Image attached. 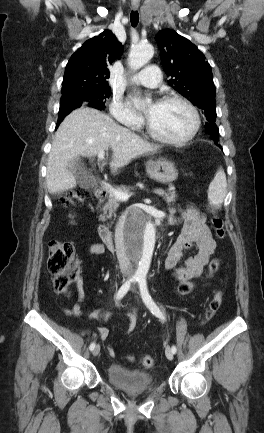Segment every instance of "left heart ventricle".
<instances>
[{
	"label": "left heart ventricle",
	"mask_w": 264,
	"mask_h": 433,
	"mask_svg": "<svg viewBox=\"0 0 264 433\" xmlns=\"http://www.w3.org/2000/svg\"><path fill=\"white\" fill-rule=\"evenodd\" d=\"M148 120L159 134L172 139L186 136L193 125L191 112L179 103L150 105Z\"/></svg>",
	"instance_id": "left-heart-ventricle-1"
}]
</instances>
